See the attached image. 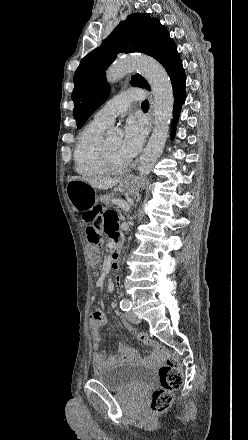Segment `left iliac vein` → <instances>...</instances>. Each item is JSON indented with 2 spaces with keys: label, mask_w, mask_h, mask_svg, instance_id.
Returning a JSON list of instances; mask_svg holds the SVG:
<instances>
[{
  "label": "left iliac vein",
  "mask_w": 248,
  "mask_h": 440,
  "mask_svg": "<svg viewBox=\"0 0 248 440\" xmlns=\"http://www.w3.org/2000/svg\"><path fill=\"white\" fill-rule=\"evenodd\" d=\"M126 317H127V320L131 323L137 324L140 322V319L133 311L128 312Z\"/></svg>",
  "instance_id": "1"
}]
</instances>
